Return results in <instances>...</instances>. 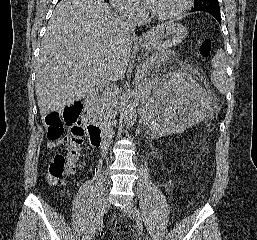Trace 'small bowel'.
Wrapping results in <instances>:
<instances>
[{
    "mask_svg": "<svg viewBox=\"0 0 257 240\" xmlns=\"http://www.w3.org/2000/svg\"><path fill=\"white\" fill-rule=\"evenodd\" d=\"M64 143L63 141L61 140H57V141H48L47 143V148L48 149H54V148H58V147H61L63 146Z\"/></svg>",
    "mask_w": 257,
    "mask_h": 240,
    "instance_id": "c3829d8e",
    "label": "small bowel"
}]
</instances>
